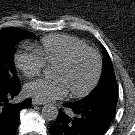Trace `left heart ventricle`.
Listing matches in <instances>:
<instances>
[{
  "mask_svg": "<svg viewBox=\"0 0 135 135\" xmlns=\"http://www.w3.org/2000/svg\"><path fill=\"white\" fill-rule=\"evenodd\" d=\"M96 68V61L92 54L79 55L69 66H53L51 76L63 80L70 92H80L91 82Z\"/></svg>",
  "mask_w": 135,
  "mask_h": 135,
  "instance_id": "obj_1",
  "label": "left heart ventricle"
}]
</instances>
